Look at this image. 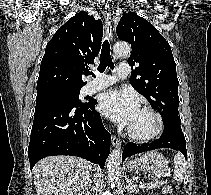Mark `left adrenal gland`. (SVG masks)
Returning <instances> with one entry per match:
<instances>
[{
    "instance_id": "obj_1",
    "label": "left adrenal gland",
    "mask_w": 211,
    "mask_h": 195,
    "mask_svg": "<svg viewBox=\"0 0 211 195\" xmlns=\"http://www.w3.org/2000/svg\"><path fill=\"white\" fill-rule=\"evenodd\" d=\"M126 189L128 190V192L130 193H137V189H136V186L134 185V181L127 178L126 179Z\"/></svg>"
}]
</instances>
